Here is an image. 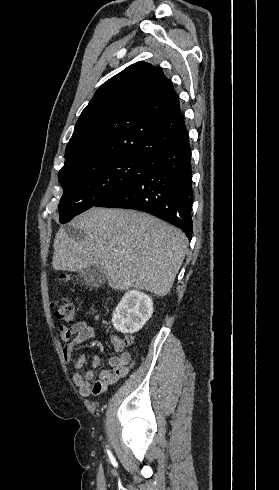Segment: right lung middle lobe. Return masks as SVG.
Returning <instances> with one entry per match:
<instances>
[{"instance_id":"1","label":"right lung middle lobe","mask_w":279,"mask_h":490,"mask_svg":"<svg viewBox=\"0 0 279 490\" xmlns=\"http://www.w3.org/2000/svg\"><path fill=\"white\" fill-rule=\"evenodd\" d=\"M151 161L133 157L95 159L71 172L58 175L64 193L60 199V223L95 206L108 194L133 182Z\"/></svg>"}]
</instances>
